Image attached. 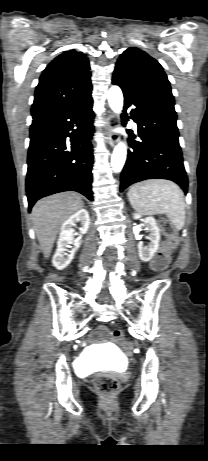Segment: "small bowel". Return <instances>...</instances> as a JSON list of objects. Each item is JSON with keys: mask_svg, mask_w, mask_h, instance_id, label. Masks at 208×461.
<instances>
[{"mask_svg": "<svg viewBox=\"0 0 208 461\" xmlns=\"http://www.w3.org/2000/svg\"><path fill=\"white\" fill-rule=\"evenodd\" d=\"M107 332H108V329L105 326H102L94 334V338L97 340L103 341L107 337Z\"/></svg>", "mask_w": 208, "mask_h": 461, "instance_id": "1", "label": "small bowel"}]
</instances>
